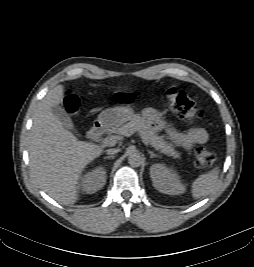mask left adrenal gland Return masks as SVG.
<instances>
[{
    "label": "left adrenal gland",
    "mask_w": 254,
    "mask_h": 267,
    "mask_svg": "<svg viewBox=\"0 0 254 267\" xmlns=\"http://www.w3.org/2000/svg\"><path fill=\"white\" fill-rule=\"evenodd\" d=\"M148 154H150V158L160 157L158 154H155L153 151L147 150Z\"/></svg>",
    "instance_id": "a2214340"
}]
</instances>
